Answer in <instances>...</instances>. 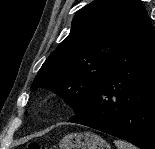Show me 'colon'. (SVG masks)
Wrapping results in <instances>:
<instances>
[{
    "instance_id": "colon-1",
    "label": "colon",
    "mask_w": 155,
    "mask_h": 149,
    "mask_svg": "<svg viewBox=\"0 0 155 149\" xmlns=\"http://www.w3.org/2000/svg\"><path fill=\"white\" fill-rule=\"evenodd\" d=\"M27 149H46V146L33 141L27 145Z\"/></svg>"
}]
</instances>
